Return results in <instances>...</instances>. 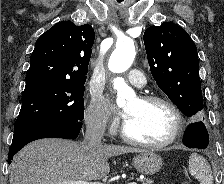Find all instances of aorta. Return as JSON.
I'll list each match as a JSON object with an SVG mask.
<instances>
[{
  "mask_svg": "<svg viewBox=\"0 0 224 184\" xmlns=\"http://www.w3.org/2000/svg\"><path fill=\"white\" fill-rule=\"evenodd\" d=\"M134 41L124 37L117 41L116 48L112 52L108 68L113 73H123L130 68L135 58ZM114 89L117 90V104L124 105L128 98L134 97V91L125 83L122 77L113 80Z\"/></svg>",
  "mask_w": 224,
  "mask_h": 184,
  "instance_id": "aorta-1",
  "label": "aorta"
}]
</instances>
